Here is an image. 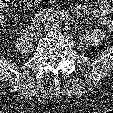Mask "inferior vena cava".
Segmentation results:
<instances>
[{"instance_id": "obj_1", "label": "inferior vena cava", "mask_w": 113, "mask_h": 113, "mask_svg": "<svg viewBox=\"0 0 113 113\" xmlns=\"http://www.w3.org/2000/svg\"><path fill=\"white\" fill-rule=\"evenodd\" d=\"M51 23H52V22H51ZM53 25H55V27L58 26V22L54 21V22H53Z\"/></svg>"}]
</instances>
